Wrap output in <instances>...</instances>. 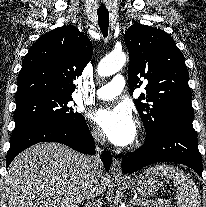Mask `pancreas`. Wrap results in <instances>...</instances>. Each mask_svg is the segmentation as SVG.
Here are the masks:
<instances>
[{
	"instance_id": "obj_1",
	"label": "pancreas",
	"mask_w": 206,
	"mask_h": 207,
	"mask_svg": "<svg viewBox=\"0 0 206 207\" xmlns=\"http://www.w3.org/2000/svg\"><path fill=\"white\" fill-rule=\"evenodd\" d=\"M140 207H161V205L154 200H145L139 202ZM170 207V206H167Z\"/></svg>"
}]
</instances>
